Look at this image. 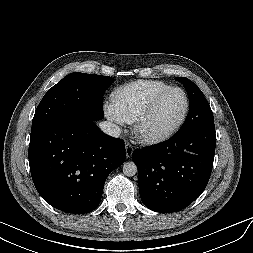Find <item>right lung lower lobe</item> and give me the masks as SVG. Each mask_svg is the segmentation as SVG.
<instances>
[{"label":"right lung lower lobe","mask_w":253,"mask_h":253,"mask_svg":"<svg viewBox=\"0 0 253 253\" xmlns=\"http://www.w3.org/2000/svg\"><path fill=\"white\" fill-rule=\"evenodd\" d=\"M124 161L123 141L102 133L93 120L63 119L31 131L34 185L47 203L64 212L93 211L106 178Z\"/></svg>","instance_id":"1"}]
</instances>
